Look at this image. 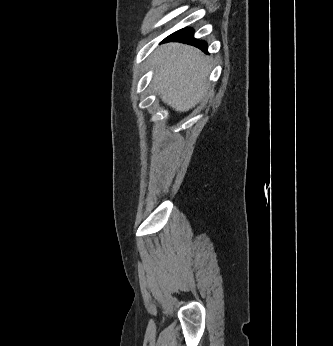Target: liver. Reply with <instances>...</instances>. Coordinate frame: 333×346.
<instances>
[{"label":"liver","instance_id":"liver-1","mask_svg":"<svg viewBox=\"0 0 333 346\" xmlns=\"http://www.w3.org/2000/svg\"><path fill=\"white\" fill-rule=\"evenodd\" d=\"M152 63L157 67L155 92L176 111L192 109L206 95L210 58L197 48L165 44L154 52Z\"/></svg>","mask_w":333,"mask_h":346}]
</instances>
